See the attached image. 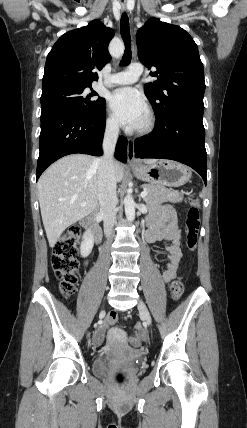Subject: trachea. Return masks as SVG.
Masks as SVG:
<instances>
[{
    "label": "trachea",
    "instance_id": "obj_1",
    "mask_svg": "<svg viewBox=\"0 0 247 428\" xmlns=\"http://www.w3.org/2000/svg\"><path fill=\"white\" fill-rule=\"evenodd\" d=\"M120 31H121V37L125 44V51L120 64L126 65L131 60L132 55H131V37H130L129 20L125 12L121 16Z\"/></svg>",
    "mask_w": 247,
    "mask_h": 428
}]
</instances>
